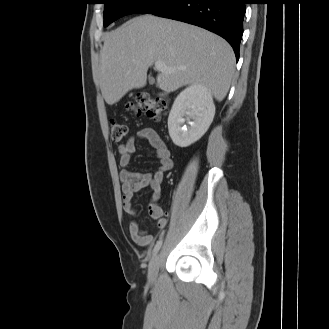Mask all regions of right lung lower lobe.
<instances>
[{
	"mask_svg": "<svg viewBox=\"0 0 329 329\" xmlns=\"http://www.w3.org/2000/svg\"><path fill=\"white\" fill-rule=\"evenodd\" d=\"M245 0H172L152 14L190 23L223 37L239 59Z\"/></svg>",
	"mask_w": 329,
	"mask_h": 329,
	"instance_id": "right-lung-lower-lobe-1",
	"label": "right lung lower lobe"
}]
</instances>
